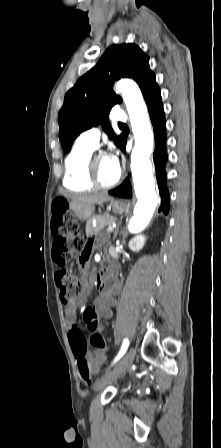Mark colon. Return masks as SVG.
<instances>
[{
  "label": "colon",
  "mask_w": 221,
  "mask_h": 448,
  "mask_svg": "<svg viewBox=\"0 0 221 448\" xmlns=\"http://www.w3.org/2000/svg\"><path fill=\"white\" fill-rule=\"evenodd\" d=\"M55 216L52 225L56 227V250L53 258L59 265L56 274V281L60 289L61 301L65 306H71L76 298L83 292V286L77 280L71 268L68 266L69 260L79 257L81 262L86 263L89 257V248L79 231L76 217L69 212L68 203L59 200L54 206ZM84 322L90 332L89 342L95 348L106 346L103 336L97 332L98 316L92 307L85 310ZM69 340L73 347L77 359V367L81 379L86 384L92 382V371L85 357L87 352V341L81 336V331L73 326L69 332Z\"/></svg>",
  "instance_id": "1"
}]
</instances>
